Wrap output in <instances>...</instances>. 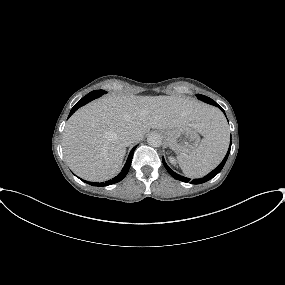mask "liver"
<instances>
[{
	"mask_svg": "<svg viewBox=\"0 0 285 285\" xmlns=\"http://www.w3.org/2000/svg\"><path fill=\"white\" fill-rule=\"evenodd\" d=\"M219 114L214 107L184 97L109 95L70 117L63 132V155L79 177L106 181L121 169L125 133L139 141L150 128L190 127L205 136L215 128Z\"/></svg>",
	"mask_w": 285,
	"mask_h": 285,
	"instance_id": "1",
	"label": "liver"
}]
</instances>
